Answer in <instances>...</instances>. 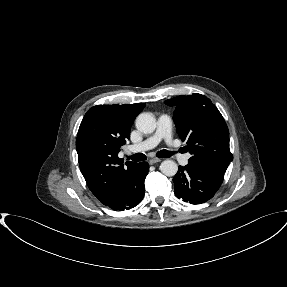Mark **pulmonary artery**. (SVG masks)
Listing matches in <instances>:
<instances>
[{
    "mask_svg": "<svg viewBox=\"0 0 287 287\" xmlns=\"http://www.w3.org/2000/svg\"><path fill=\"white\" fill-rule=\"evenodd\" d=\"M172 122L171 118L163 114L158 118L157 129L153 135L144 140L143 142L128 147L129 152H143L155 148L161 141H164L168 146H172L171 134ZM173 157L182 165H187L190 155L182 154L177 149L170 150Z\"/></svg>",
    "mask_w": 287,
    "mask_h": 287,
    "instance_id": "1",
    "label": "pulmonary artery"
}]
</instances>
